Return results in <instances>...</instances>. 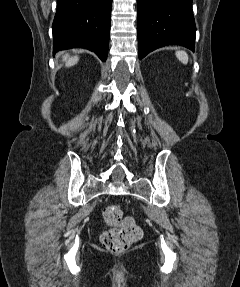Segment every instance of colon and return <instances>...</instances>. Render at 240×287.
<instances>
[{
	"label": "colon",
	"mask_w": 240,
	"mask_h": 287,
	"mask_svg": "<svg viewBox=\"0 0 240 287\" xmlns=\"http://www.w3.org/2000/svg\"><path fill=\"white\" fill-rule=\"evenodd\" d=\"M103 218L110 227L102 233L103 247L114 254L125 252L131 244L140 239L142 231L132 217H124L119 205H109L103 210Z\"/></svg>",
	"instance_id": "obj_1"
}]
</instances>
